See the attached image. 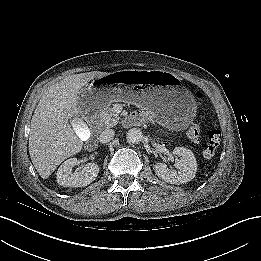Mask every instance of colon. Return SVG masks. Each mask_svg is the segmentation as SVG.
<instances>
[{"instance_id": "obj_1", "label": "colon", "mask_w": 261, "mask_h": 261, "mask_svg": "<svg viewBox=\"0 0 261 261\" xmlns=\"http://www.w3.org/2000/svg\"><path fill=\"white\" fill-rule=\"evenodd\" d=\"M196 98L199 102H202V96L200 93H196ZM188 139L197 143L200 139V129L197 125H192L187 132ZM204 148L203 156L205 158H212L219 144L220 131L216 127H207L204 131Z\"/></svg>"}]
</instances>
